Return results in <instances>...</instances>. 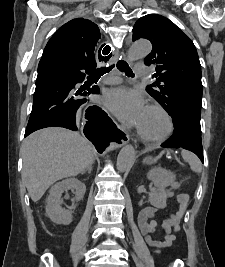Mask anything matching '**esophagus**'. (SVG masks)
Returning <instances> with one entry per match:
<instances>
[{
	"label": "esophagus",
	"instance_id": "esophagus-1",
	"mask_svg": "<svg viewBox=\"0 0 225 267\" xmlns=\"http://www.w3.org/2000/svg\"><path fill=\"white\" fill-rule=\"evenodd\" d=\"M124 56V54H122L121 56L118 53H115L111 59L112 62H117L119 59H121ZM129 141V135L126 132H122V138L121 140L117 143V147H121L124 144H126Z\"/></svg>",
	"mask_w": 225,
	"mask_h": 267
}]
</instances>
